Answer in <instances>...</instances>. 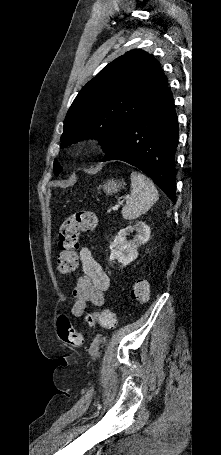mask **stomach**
<instances>
[{
    "mask_svg": "<svg viewBox=\"0 0 221 455\" xmlns=\"http://www.w3.org/2000/svg\"><path fill=\"white\" fill-rule=\"evenodd\" d=\"M125 185L124 181L110 179L104 182L100 187L104 190L107 195H112L118 192Z\"/></svg>",
    "mask_w": 221,
    "mask_h": 455,
    "instance_id": "obj_1",
    "label": "stomach"
}]
</instances>
